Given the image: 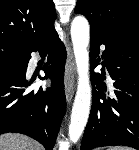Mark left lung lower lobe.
Returning a JSON list of instances; mask_svg holds the SVG:
<instances>
[{
  "instance_id": "0a47b994",
  "label": "left lung lower lobe",
  "mask_w": 139,
  "mask_h": 150,
  "mask_svg": "<svg viewBox=\"0 0 139 150\" xmlns=\"http://www.w3.org/2000/svg\"><path fill=\"white\" fill-rule=\"evenodd\" d=\"M90 41L93 68L98 65L99 46L105 45L102 58L114 80V90L110 96L105 93L107 88L102 83L106 79L104 69L102 74L92 73L96 87L81 150L116 145L139 150V28L109 42L90 32Z\"/></svg>"
}]
</instances>
